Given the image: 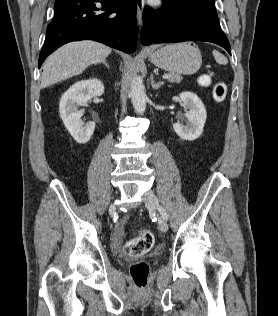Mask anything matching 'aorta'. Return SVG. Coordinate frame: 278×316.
I'll use <instances>...</instances> for the list:
<instances>
[{
	"instance_id": "obj_1",
	"label": "aorta",
	"mask_w": 278,
	"mask_h": 316,
	"mask_svg": "<svg viewBox=\"0 0 278 316\" xmlns=\"http://www.w3.org/2000/svg\"><path fill=\"white\" fill-rule=\"evenodd\" d=\"M130 97L135 112L143 114L146 110L147 95L145 93L143 82L140 78L135 77L130 87Z\"/></svg>"
}]
</instances>
